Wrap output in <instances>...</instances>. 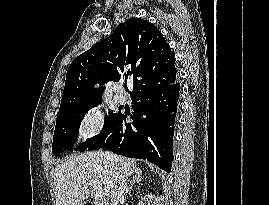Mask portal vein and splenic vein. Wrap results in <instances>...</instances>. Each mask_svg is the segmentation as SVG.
Returning <instances> with one entry per match:
<instances>
[{
	"label": "portal vein and splenic vein",
	"mask_w": 269,
	"mask_h": 205,
	"mask_svg": "<svg viewBox=\"0 0 269 205\" xmlns=\"http://www.w3.org/2000/svg\"><path fill=\"white\" fill-rule=\"evenodd\" d=\"M89 184L96 190L95 198L97 200H101L105 197V192L101 186L98 185V183L94 180H90Z\"/></svg>",
	"instance_id": "1"
}]
</instances>
